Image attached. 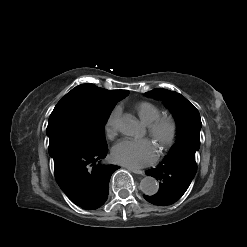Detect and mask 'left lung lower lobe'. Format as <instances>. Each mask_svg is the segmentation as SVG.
I'll return each instance as SVG.
<instances>
[{
  "mask_svg": "<svg viewBox=\"0 0 247 247\" xmlns=\"http://www.w3.org/2000/svg\"><path fill=\"white\" fill-rule=\"evenodd\" d=\"M195 153L196 151L187 148L169 152L158 167L147 170L146 174L155 177L160 186L155 195H144V198L160 206L179 200L196 174Z\"/></svg>",
  "mask_w": 247,
  "mask_h": 247,
  "instance_id": "obj_1",
  "label": "left lung lower lobe"
}]
</instances>
